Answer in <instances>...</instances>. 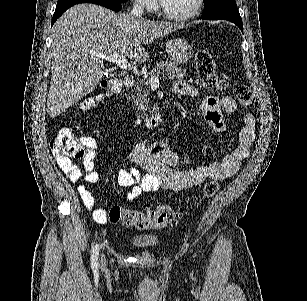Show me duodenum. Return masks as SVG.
Returning a JSON list of instances; mask_svg holds the SVG:
<instances>
[{
    "label": "duodenum",
    "mask_w": 307,
    "mask_h": 301,
    "mask_svg": "<svg viewBox=\"0 0 307 301\" xmlns=\"http://www.w3.org/2000/svg\"><path fill=\"white\" fill-rule=\"evenodd\" d=\"M123 83H124L126 88H131V87H133L135 80L132 77H125L124 80H123ZM155 122H156V120L153 119V120L150 121V124L154 125Z\"/></svg>",
    "instance_id": "duodenum-1"
}]
</instances>
